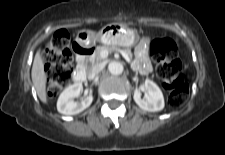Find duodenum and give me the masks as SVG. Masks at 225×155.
Segmentation results:
<instances>
[{"label": "duodenum", "instance_id": "1", "mask_svg": "<svg viewBox=\"0 0 225 155\" xmlns=\"http://www.w3.org/2000/svg\"><path fill=\"white\" fill-rule=\"evenodd\" d=\"M75 52H76L77 67L73 74V81L76 84H80L83 83L86 79L84 61L86 57L89 54H91L92 49L88 46L76 45Z\"/></svg>", "mask_w": 225, "mask_h": 155}]
</instances>
